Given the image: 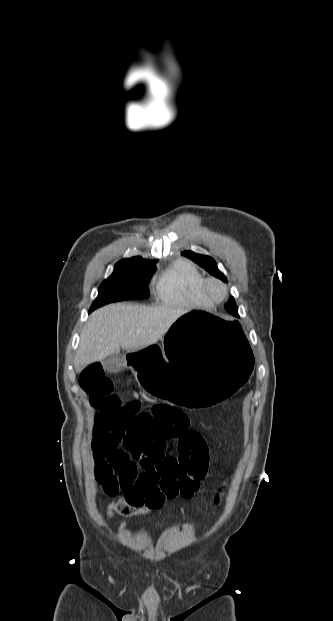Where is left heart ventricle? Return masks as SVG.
Segmentation results:
<instances>
[{"label":"left heart ventricle","instance_id":"b2bd125f","mask_svg":"<svg viewBox=\"0 0 333 621\" xmlns=\"http://www.w3.org/2000/svg\"><path fill=\"white\" fill-rule=\"evenodd\" d=\"M212 291H213V293H215V294H219V293L221 292V289H220V287H219V286L214 285V286L212 287Z\"/></svg>","mask_w":333,"mask_h":621}]
</instances>
